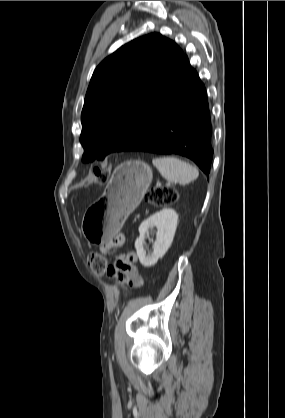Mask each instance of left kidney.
<instances>
[{
	"instance_id": "1",
	"label": "left kidney",
	"mask_w": 285,
	"mask_h": 418,
	"mask_svg": "<svg viewBox=\"0 0 285 418\" xmlns=\"http://www.w3.org/2000/svg\"><path fill=\"white\" fill-rule=\"evenodd\" d=\"M178 221V214L169 208L148 217L139 226L140 236L135 241V249L140 263L144 267H151L157 263L168 251L172 244ZM157 228V239L153 245V253L146 255L144 249L145 236L150 228Z\"/></svg>"
}]
</instances>
